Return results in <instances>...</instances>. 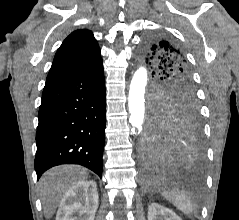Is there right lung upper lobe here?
Wrapping results in <instances>:
<instances>
[{
  "label": "right lung upper lobe",
  "instance_id": "obj_1",
  "mask_svg": "<svg viewBox=\"0 0 239 220\" xmlns=\"http://www.w3.org/2000/svg\"><path fill=\"white\" fill-rule=\"evenodd\" d=\"M101 60L99 45L92 32L76 30L59 47L46 83L78 73Z\"/></svg>",
  "mask_w": 239,
  "mask_h": 220
}]
</instances>
